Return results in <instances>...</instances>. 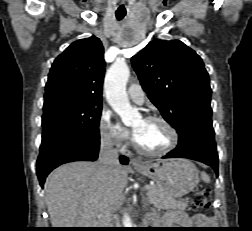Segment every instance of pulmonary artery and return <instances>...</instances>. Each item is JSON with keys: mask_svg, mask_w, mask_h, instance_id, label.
Wrapping results in <instances>:
<instances>
[{"mask_svg": "<svg viewBox=\"0 0 252 231\" xmlns=\"http://www.w3.org/2000/svg\"><path fill=\"white\" fill-rule=\"evenodd\" d=\"M129 97L137 104H142L145 100V93L142 87L137 84L133 83L128 86L127 89Z\"/></svg>", "mask_w": 252, "mask_h": 231, "instance_id": "pulmonary-artery-1", "label": "pulmonary artery"}]
</instances>
